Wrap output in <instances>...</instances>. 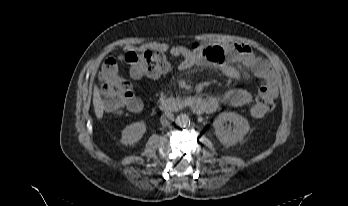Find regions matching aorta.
Returning a JSON list of instances; mask_svg holds the SVG:
<instances>
[{"label":"aorta","mask_w":348,"mask_h":206,"mask_svg":"<svg viewBox=\"0 0 348 206\" xmlns=\"http://www.w3.org/2000/svg\"><path fill=\"white\" fill-rule=\"evenodd\" d=\"M176 124L179 126V127H186L190 124V119L188 117V115L186 114H180L177 116L176 118Z\"/></svg>","instance_id":"762f6f07"}]
</instances>
